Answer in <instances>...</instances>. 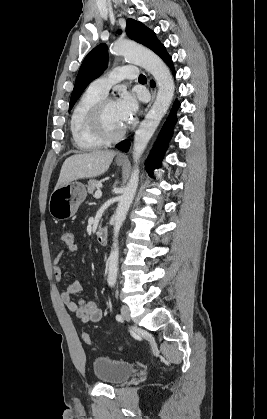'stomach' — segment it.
<instances>
[{
    "label": "stomach",
    "instance_id": "stomach-1",
    "mask_svg": "<svg viewBox=\"0 0 267 419\" xmlns=\"http://www.w3.org/2000/svg\"><path fill=\"white\" fill-rule=\"evenodd\" d=\"M116 164L122 166L124 162L116 160ZM86 196L85 185L77 181L55 188L49 199V212L54 219H68L75 215Z\"/></svg>",
    "mask_w": 267,
    "mask_h": 419
}]
</instances>
